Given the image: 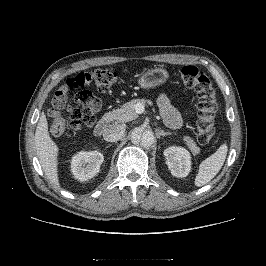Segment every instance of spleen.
Here are the masks:
<instances>
[{
	"label": "spleen",
	"instance_id": "1",
	"mask_svg": "<svg viewBox=\"0 0 266 266\" xmlns=\"http://www.w3.org/2000/svg\"><path fill=\"white\" fill-rule=\"evenodd\" d=\"M227 151V143L224 142L214 154L200 163L195 186L201 187L208 184L218 174L225 162Z\"/></svg>",
	"mask_w": 266,
	"mask_h": 266
}]
</instances>
